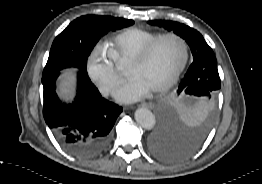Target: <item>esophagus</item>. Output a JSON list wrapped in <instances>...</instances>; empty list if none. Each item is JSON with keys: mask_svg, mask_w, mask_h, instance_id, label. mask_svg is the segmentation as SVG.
Masks as SVG:
<instances>
[{"mask_svg": "<svg viewBox=\"0 0 262 184\" xmlns=\"http://www.w3.org/2000/svg\"><path fill=\"white\" fill-rule=\"evenodd\" d=\"M140 106L152 109V108H154L155 105H154L153 102H143V103L140 104Z\"/></svg>", "mask_w": 262, "mask_h": 184, "instance_id": "obj_1", "label": "esophagus"}]
</instances>
